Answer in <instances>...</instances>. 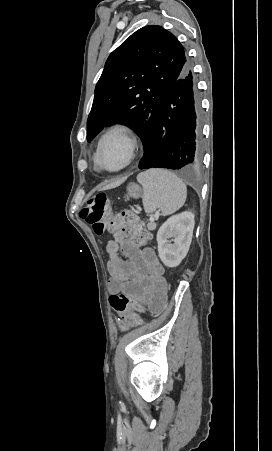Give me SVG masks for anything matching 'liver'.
<instances>
[{
  "label": "liver",
  "instance_id": "liver-1",
  "mask_svg": "<svg viewBox=\"0 0 272 451\" xmlns=\"http://www.w3.org/2000/svg\"><path fill=\"white\" fill-rule=\"evenodd\" d=\"M125 178H121V180H119V182H117V184H121V182H124Z\"/></svg>",
  "mask_w": 272,
  "mask_h": 451
}]
</instances>
